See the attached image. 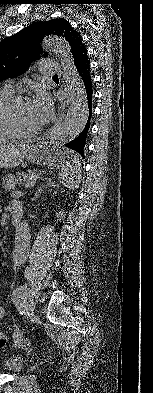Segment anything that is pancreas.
I'll return each mask as SVG.
<instances>
[{
	"instance_id": "pancreas-1",
	"label": "pancreas",
	"mask_w": 153,
	"mask_h": 393,
	"mask_svg": "<svg viewBox=\"0 0 153 393\" xmlns=\"http://www.w3.org/2000/svg\"><path fill=\"white\" fill-rule=\"evenodd\" d=\"M13 184H14V179L13 178H9V179L3 180V182H2V186H3L4 189L10 188Z\"/></svg>"
}]
</instances>
